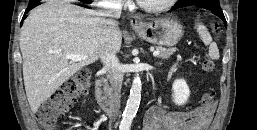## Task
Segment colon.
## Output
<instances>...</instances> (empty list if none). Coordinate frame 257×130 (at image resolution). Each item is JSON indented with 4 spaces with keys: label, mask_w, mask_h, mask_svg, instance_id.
Wrapping results in <instances>:
<instances>
[{
    "label": "colon",
    "mask_w": 257,
    "mask_h": 130,
    "mask_svg": "<svg viewBox=\"0 0 257 130\" xmlns=\"http://www.w3.org/2000/svg\"><path fill=\"white\" fill-rule=\"evenodd\" d=\"M215 68L214 61L206 57L203 61V69L212 72ZM90 73L81 70L72 78L65 81L37 110L36 119L45 130H55L58 121L72 108L79 96L89 87ZM215 90L210 88L201 97L203 108L212 106ZM68 130V129H66Z\"/></svg>",
    "instance_id": "5ec220e1"
}]
</instances>
